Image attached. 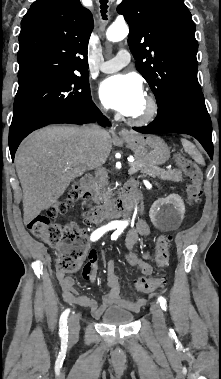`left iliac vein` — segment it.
Here are the masks:
<instances>
[{
	"instance_id": "obj_1",
	"label": "left iliac vein",
	"mask_w": 221,
	"mask_h": 379,
	"mask_svg": "<svg viewBox=\"0 0 221 379\" xmlns=\"http://www.w3.org/2000/svg\"><path fill=\"white\" fill-rule=\"evenodd\" d=\"M154 328L158 333H162L165 330L164 314L160 306L153 303L150 307Z\"/></svg>"
}]
</instances>
